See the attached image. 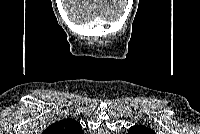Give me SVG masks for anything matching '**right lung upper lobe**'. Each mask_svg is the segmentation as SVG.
<instances>
[{
    "instance_id": "cb5924a9",
    "label": "right lung upper lobe",
    "mask_w": 200,
    "mask_h": 134,
    "mask_svg": "<svg viewBox=\"0 0 200 134\" xmlns=\"http://www.w3.org/2000/svg\"><path fill=\"white\" fill-rule=\"evenodd\" d=\"M81 134L82 126L74 119L67 118L50 125L45 134Z\"/></svg>"
}]
</instances>
